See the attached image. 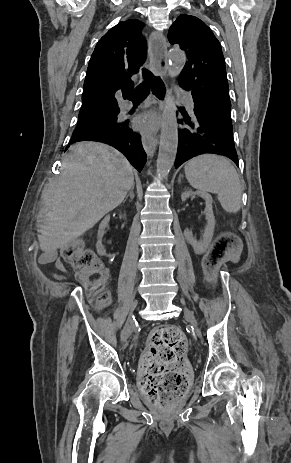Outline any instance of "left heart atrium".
Here are the masks:
<instances>
[{
    "mask_svg": "<svg viewBox=\"0 0 291 463\" xmlns=\"http://www.w3.org/2000/svg\"><path fill=\"white\" fill-rule=\"evenodd\" d=\"M159 124L160 118L154 113L145 114L135 120L136 129L145 134H149L155 131Z\"/></svg>",
    "mask_w": 291,
    "mask_h": 463,
    "instance_id": "left-heart-atrium-1",
    "label": "left heart atrium"
}]
</instances>
